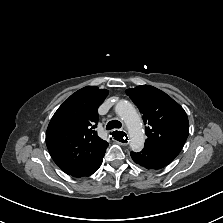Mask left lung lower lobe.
<instances>
[{
  "instance_id": "obj_1",
  "label": "left lung lower lobe",
  "mask_w": 223,
  "mask_h": 223,
  "mask_svg": "<svg viewBox=\"0 0 223 223\" xmlns=\"http://www.w3.org/2000/svg\"><path fill=\"white\" fill-rule=\"evenodd\" d=\"M131 157L141 167L157 170L171 163L176 156L156 148L145 146L140 152H131Z\"/></svg>"
}]
</instances>
